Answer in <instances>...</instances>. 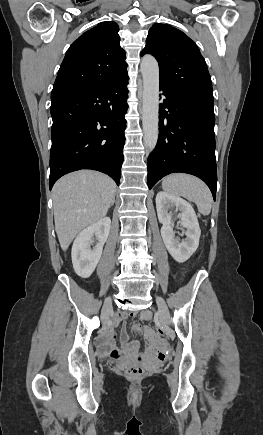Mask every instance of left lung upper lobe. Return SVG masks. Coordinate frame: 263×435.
<instances>
[{
  "instance_id": "5c2ea615",
  "label": "left lung upper lobe",
  "mask_w": 263,
  "mask_h": 435,
  "mask_svg": "<svg viewBox=\"0 0 263 435\" xmlns=\"http://www.w3.org/2000/svg\"><path fill=\"white\" fill-rule=\"evenodd\" d=\"M151 54L160 69V84L214 100L212 82L199 48L182 31L164 24L149 30L141 55Z\"/></svg>"
}]
</instances>
